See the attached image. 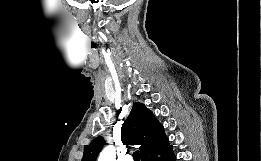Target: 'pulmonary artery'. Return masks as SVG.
Masks as SVG:
<instances>
[{"label":"pulmonary artery","mask_w":261,"mask_h":161,"mask_svg":"<svg viewBox=\"0 0 261 161\" xmlns=\"http://www.w3.org/2000/svg\"><path fill=\"white\" fill-rule=\"evenodd\" d=\"M124 161H132V157L129 156V155H127V156L125 157Z\"/></svg>","instance_id":"e3ab8cb5"}]
</instances>
